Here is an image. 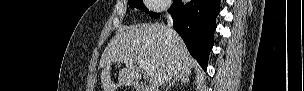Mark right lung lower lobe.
Instances as JSON below:
<instances>
[{
  "label": "right lung lower lobe",
  "instance_id": "98d812e1",
  "mask_svg": "<svg viewBox=\"0 0 304 91\" xmlns=\"http://www.w3.org/2000/svg\"><path fill=\"white\" fill-rule=\"evenodd\" d=\"M219 11L220 0H192L187 4L175 0L168 10L174 20V29L204 70L213 47L215 18Z\"/></svg>",
  "mask_w": 304,
  "mask_h": 91
}]
</instances>
